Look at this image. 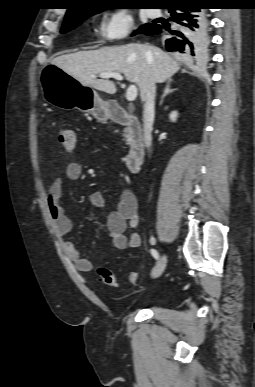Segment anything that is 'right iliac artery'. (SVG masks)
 I'll return each mask as SVG.
<instances>
[{
    "instance_id": "1",
    "label": "right iliac artery",
    "mask_w": 255,
    "mask_h": 387,
    "mask_svg": "<svg viewBox=\"0 0 255 387\" xmlns=\"http://www.w3.org/2000/svg\"><path fill=\"white\" fill-rule=\"evenodd\" d=\"M150 252L155 259L159 258V254L155 249H151Z\"/></svg>"
}]
</instances>
